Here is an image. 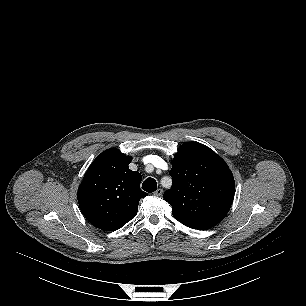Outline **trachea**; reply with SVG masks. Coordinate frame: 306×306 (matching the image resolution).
<instances>
[{"instance_id": "3493384b", "label": "trachea", "mask_w": 306, "mask_h": 306, "mask_svg": "<svg viewBox=\"0 0 306 306\" xmlns=\"http://www.w3.org/2000/svg\"><path fill=\"white\" fill-rule=\"evenodd\" d=\"M142 189L146 192H154L157 189V182L153 178H147L143 184H142Z\"/></svg>"}]
</instances>
